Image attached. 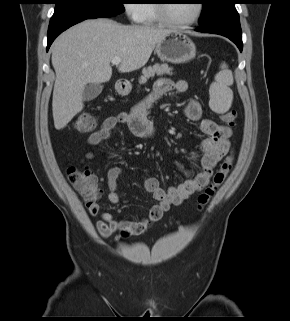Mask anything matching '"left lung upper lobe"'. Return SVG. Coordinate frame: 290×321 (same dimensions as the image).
Instances as JSON below:
<instances>
[{
    "label": "left lung upper lobe",
    "instance_id": "obj_1",
    "mask_svg": "<svg viewBox=\"0 0 290 321\" xmlns=\"http://www.w3.org/2000/svg\"><path fill=\"white\" fill-rule=\"evenodd\" d=\"M203 9L199 20L200 26L210 24L236 10L237 0H201Z\"/></svg>",
    "mask_w": 290,
    "mask_h": 321
}]
</instances>
